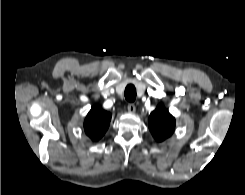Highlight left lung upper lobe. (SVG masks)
<instances>
[{
    "mask_svg": "<svg viewBox=\"0 0 245 195\" xmlns=\"http://www.w3.org/2000/svg\"><path fill=\"white\" fill-rule=\"evenodd\" d=\"M149 129L158 142H162L173 134L175 118L168 112L163 104H159L150 114Z\"/></svg>",
    "mask_w": 245,
    "mask_h": 195,
    "instance_id": "1",
    "label": "left lung upper lobe"
}]
</instances>
